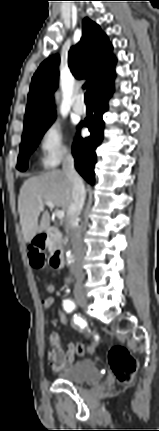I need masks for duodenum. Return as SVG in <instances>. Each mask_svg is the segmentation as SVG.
I'll return each mask as SVG.
<instances>
[{"mask_svg": "<svg viewBox=\"0 0 159 431\" xmlns=\"http://www.w3.org/2000/svg\"><path fill=\"white\" fill-rule=\"evenodd\" d=\"M41 242L52 243L53 249L50 256V266L53 269H60L64 265V252L61 245V234L55 227H47L40 235Z\"/></svg>", "mask_w": 159, "mask_h": 431, "instance_id": "1", "label": "duodenum"}]
</instances>
